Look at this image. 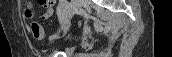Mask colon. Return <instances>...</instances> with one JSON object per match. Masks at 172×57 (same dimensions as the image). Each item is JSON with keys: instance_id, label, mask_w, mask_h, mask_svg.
<instances>
[{"instance_id": "1", "label": "colon", "mask_w": 172, "mask_h": 57, "mask_svg": "<svg viewBox=\"0 0 172 57\" xmlns=\"http://www.w3.org/2000/svg\"><path fill=\"white\" fill-rule=\"evenodd\" d=\"M32 9H33L32 5H28L25 10L26 12L31 13ZM30 32H31L32 37L35 39H40L43 35V29L41 25L37 22H33L31 24Z\"/></svg>"}]
</instances>
